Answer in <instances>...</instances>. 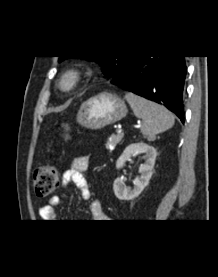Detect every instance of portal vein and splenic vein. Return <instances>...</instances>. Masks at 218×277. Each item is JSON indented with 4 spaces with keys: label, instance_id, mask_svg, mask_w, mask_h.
<instances>
[{
    "label": "portal vein and splenic vein",
    "instance_id": "1",
    "mask_svg": "<svg viewBox=\"0 0 218 277\" xmlns=\"http://www.w3.org/2000/svg\"><path fill=\"white\" fill-rule=\"evenodd\" d=\"M122 131H123L122 129H118L117 133L120 134V133H122Z\"/></svg>",
    "mask_w": 218,
    "mask_h": 277
}]
</instances>
